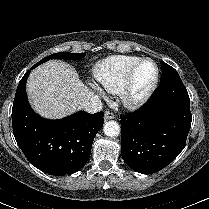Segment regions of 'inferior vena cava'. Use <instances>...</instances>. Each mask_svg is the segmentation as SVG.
<instances>
[{"label": "inferior vena cava", "instance_id": "inferior-vena-cava-1", "mask_svg": "<svg viewBox=\"0 0 209 209\" xmlns=\"http://www.w3.org/2000/svg\"><path fill=\"white\" fill-rule=\"evenodd\" d=\"M103 104L98 96H92L89 100L78 105L79 110L94 114L102 110Z\"/></svg>", "mask_w": 209, "mask_h": 209}]
</instances>
